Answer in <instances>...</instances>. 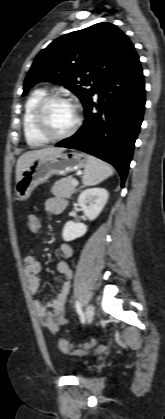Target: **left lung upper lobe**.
Segmentation results:
<instances>
[{
    "instance_id": "left-lung-upper-lobe-1",
    "label": "left lung upper lobe",
    "mask_w": 165,
    "mask_h": 419,
    "mask_svg": "<svg viewBox=\"0 0 165 419\" xmlns=\"http://www.w3.org/2000/svg\"><path fill=\"white\" fill-rule=\"evenodd\" d=\"M133 52L129 38L111 23H98L71 32L55 39L37 55L25 79L22 95L34 84L48 81L68 88L85 107L101 81Z\"/></svg>"
}]
</instances>
